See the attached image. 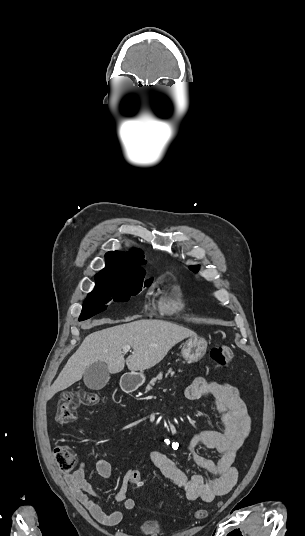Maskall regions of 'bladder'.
<instances>
[{"label": "bladder", "instance_id": "31cf9c89", "mask_svg": "<svg viewBox=\"0 0 305 536\" xmlns=\"http://www.w3.org/2000/svg\"><path fill=\"white\" fill-rule=\"evenodd\" d=\"M138 527L141 536H161L163 533L162 523L155 520L143 519Z\"/></svg>", "mask_w": 305, "mask_h": 536}]
</instances>
